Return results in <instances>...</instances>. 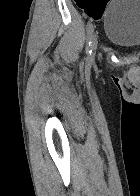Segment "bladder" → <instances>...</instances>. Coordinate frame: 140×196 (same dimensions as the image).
Instances as JSON below:
<instances>
[{
	"mask_svg": "<svg viewBox=\"0 0 140 196\" xmlns=\"http://www.w3.org/2000/svg\"><path fill=\"white\" fill-rule=\"evenodd\" d=\"M107 40L122 49L140 48V0H113L104 15Z\"/></svg>",
	"mask_w": 140,
	"mask_h": 196,
	"instance_id": "1",
	"label": "bladder"
}]
</instances>
